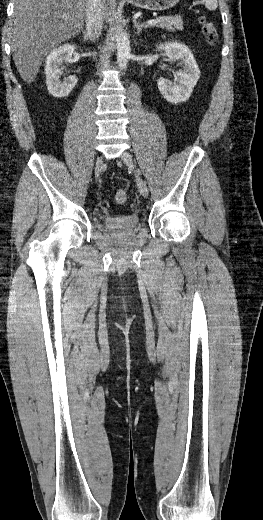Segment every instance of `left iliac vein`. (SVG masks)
Instances as JSON below:
<instances>
[{
    "instance_id": "4c4485c4",
    "label": "left iliac vein",
    "mask_w": 263,
    "mask_h": 520,
    "mask_svg": "<svg viewBox=\"0 0 263 520\" xmlns=\"http://www.w3.org/2000/svg\"><path fill=\"white\" fill-rule=\"evenodd\" d=\"M121 160L130 169L135 168L133 157L129 152H127V151L123 152L121 155ZM136 182H137L139 192L141 193L142 196L146 197L148 195V187H147L146 182L139 175L136 176Z\"/></svg>"
}]
</instances>
